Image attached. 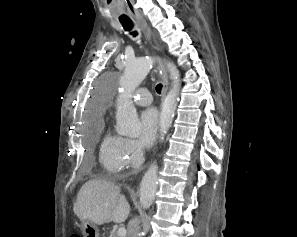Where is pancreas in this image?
<instances>
[{
    "mask_svg": "<svg viewBox=\"0 0 297 237\" xmlns=\"http://www.w3.org/2000/svg\"><path fill=\"white\" fill-rule=\"evenodd\" d=\"M112 237H118V235L117 234H113V236Z\"/></svg>",
    "mask_w": 297,
    "mask_h": 237,
    "instance_id": "obj_1",
    "label": "pancreas"
}]
</instances>
